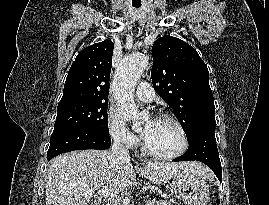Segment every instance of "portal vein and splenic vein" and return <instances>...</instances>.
<instances>
[{
	"mask_svg": "<svg viewBox=\"0 0 269 205\" xmlns=\"http://www.w3.org/2000/svg\"><path fill=\"white\" fill-rule=\"evenodd\" d=\"M98 195L104 198L111 199L114 197V194L109 191V188L107 186H103L100 190H98ZM122 202L124 205H129L130 199L129 198H122ZM149 204L152 202L149 201Z\"/></svg>",
	"mask_w": 269,
	"mask_h": 205,
	"instance_id": "1",
	"label": "portal vein and splenic vein"
}]
</instances>
